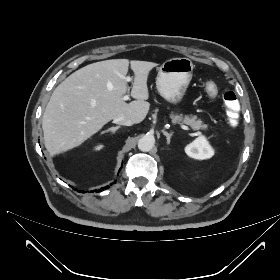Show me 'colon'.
<instances>
[{
    "instance_id": "1",
    "label": "colon",
    "mask_w": 280,
    "mask_h": 280,
    "mask_svg": "<svg viewBox=\"0 0 280 280\" xmlns=\"http://www.w3.org/2000/svg\"><path fill=\"white\" fill-rule=\"evenodd\" d=\"M204 90L211 98L215 97L218 93V87L213 81H206L204 84ZM222 99L227 108L229 126L232 128L239 127L241 124V102L237 100L236 94L229 89L222 92Z\"/></svg>"
}]
</instances>
